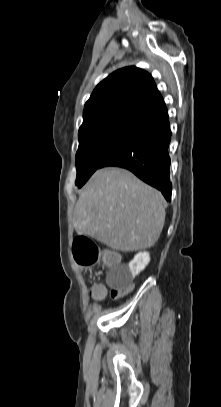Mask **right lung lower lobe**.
Returning a JSON list of instances; mask_svg holds the SVG:
<instances>
[{
    "mask_svg": "<svg viewBox=\"0 0 221 407\" xmlns=\"http://www.w3.org/2000/svg\"><path fill=\"white\" fill-rule=\"evenodd\" d=\"M171 131L167 109L142 122L137 129L100 165L130 170L144 182L162 192L170 201V157L168 147Z\"/></svg>",
    "mask_w": 221,
    "mask_h": 407,
    "instance_id": "right-lung-lower-lobe-1",
    "label": "right lung lower lobe"
}]
</instances>
